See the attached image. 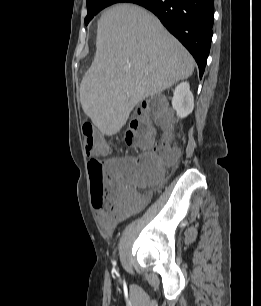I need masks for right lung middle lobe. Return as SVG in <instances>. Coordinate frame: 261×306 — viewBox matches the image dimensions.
I'll return each mask as SVG.
<instances>
[{"mask_svg":"<svg viewBox=\"0 0 261 306\" xmlns=\"http://www.w3.org/2000/svg\"><path fill=\"white\" fill-rule=\"evenodd\" d=\"M118 2H120V0H87L88 14L85 18V24L87 25L89 21L105 7Z\"/></svg>","mask_w":261,"mask_h":306,"instance_id":"dd1d6c3e","label":"right lung middle lobe"}]
</instances>
